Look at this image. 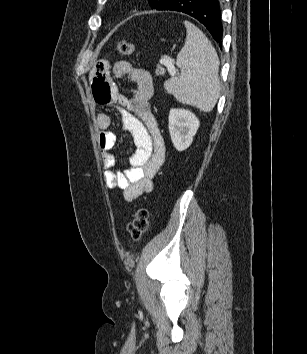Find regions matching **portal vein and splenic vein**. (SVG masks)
<instances>
[{
    "label": "portal vein and splenic vein",
    "mask_w": 307,
    "mask_h": 354,
    "mask_svg": "<svg viewBox=\"0 0 307 354\" xmlns=\"http://www.w3.org/2000/svg\"><path fill=\"white\" fill-rule=\"evenodd\" d=\"M160 63L164 64L167 67L170 75H172V76L176 75L175 68L169 60L161 59Z\"/></svg>",
    "instance_id": "1"
}]
</instances>
